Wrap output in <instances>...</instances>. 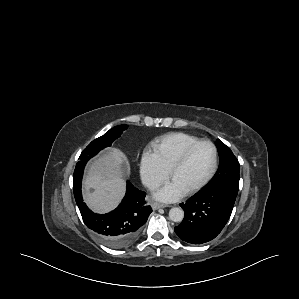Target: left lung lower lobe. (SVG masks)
<instances>
[{
	"mask_svg": "<svg viewBox=\"0 0 299 299\" xmlns=\"http://www.w3.org/2000/svg\"><path fill=\"white\" fill-rule=\"evenodd\" d=\"M237 193L227 187H206L185 204H180L185 217L175 227L176 234L191 244H203L214 239L227 223Z\"/></svg>",
	"mask_w": 299,
	"mask_h": 299,
	"instance_id": "obj_1",
	"label": "left lung lower lobe"
}]
</instances>
